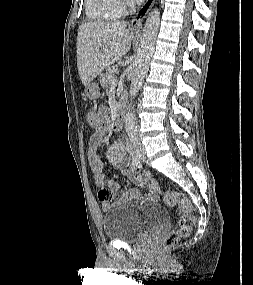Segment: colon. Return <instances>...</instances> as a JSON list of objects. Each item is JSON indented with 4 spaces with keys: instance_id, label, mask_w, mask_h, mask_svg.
<instances>
[{
    "instance_id": "1",
    "label": "colon",
    "mask_w": 253,
    "mask_h": 285,
    "mask_svg": "<svg viewBox=\"0 0 253 285\" xmlns=\"http://www.w3.org/2000/svg\"><path fill=\"white\" fill-rule=\"evenodd\" d=\"M87 120L91 127H98L102 124V120L99 113L88 112ZM113 198V192L109 189H102L99 192V199L101 201H110ZM164 202L168 206L179 207V224L177 229L171 231L163 240V246L165 248H171L175 246L180 239L186 237L192 231L196 218L193 212V206L191 201L181 192L175 190H169L164 195Z\"/></svg>"
}]
</instances>
